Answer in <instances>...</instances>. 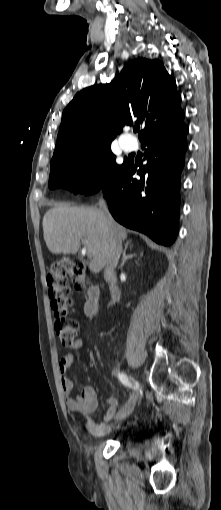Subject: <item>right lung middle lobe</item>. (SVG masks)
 Instances as JSON below:
<instances>
[{
    "label": "right lung middle lobe",
    "instance_id": "dd1d6c3e",
    "mask_svg": "<svg viewBox=\"0 0 221 510\" xmlns=\"http://www.w3.org/2000/svg\"><path fill=\"white\" fill-rule=\"evenodd\" d=\"M115 159L110 144L74 149L51 162L49 187L75 189V193L86 195L96 193L111 183L128 162L119 165Z\"/></svg>",
    "mask_w": 221,
    "mask_h": 510
}]
</instances>
